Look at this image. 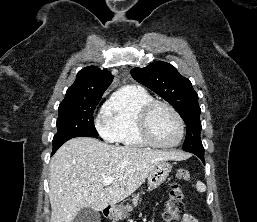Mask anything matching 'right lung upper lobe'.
Segmentation results:
<instances>
[{
    "label": "right lung upper lobe",
    "mask_w": 257,
    "mask_h": 222,
    "mask_svg": "<svg viewBox=\"0 0 257 222\" xmlns=\"http://www.w3.org/2000/svg\"><path fill=\"white\" fill-rule=\"evenodd\" d=\"M113 80L112 74L96 66H88L77 73L75 82L68 88L64 100L102 96Z\"/></svg>",
    "instance_id": "cb5924a9"
}]
</instances>
